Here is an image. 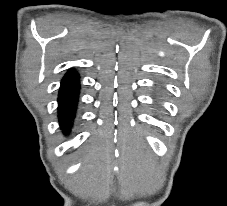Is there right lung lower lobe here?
<instances>
[{
	"label": "right lung lower lobe",
	"instance_id": "1",
	"mask_svg": "<svg viewBox=\"0 0 227 206\" xmlns=\"http://www.w3.org/2000/svg\"><path fill=\"white\" fill-rule=\"evenodd\" d=\"M79 94V77L74 69L69 70L61 81L58 97L59 122L68 132L74 119Z\"/></svg>",
	"mask_w": 227,
	"mask_h": 206
}]
</instances>
